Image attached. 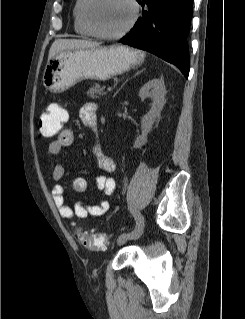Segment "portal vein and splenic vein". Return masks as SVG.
<instances>
[{
    "mask_svg": "<svg viewBox=\"0 0 245 319\" xmlns=\"http://www.w3.org/2000/svg\"><path fill=\"white\" fill-rule=\"evenodd\" d=\"M112 89H113L112 87H107V92L109 93L112 92Z\"/></svg>",
    "mask_w": 245,
    "mask_h": 319,
    "instance_id": "18ae733b",
    "label": "portal vein and splenic vein"
}]
</instances>
